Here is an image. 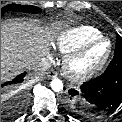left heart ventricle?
Wrapping results in <instances>:
<instances>
[{
    "instance_id": "obj_1",
    "label": "left heart ventricle",
    "mask_w": 122,
    "mask_h": 122,
    "mask_svg": "<svg viewBox=\"0 0 122 122\" xmlns=\"http://www.w3.org/2000/svg\"><path fill=\"white\" fill-rule=\"evenodd\" d=\"M106 50H107L106 43H100L94 46L82 58H80L78 61L75 62L74 69L77 71H83L89 68L102 58Z\"/></svg>"
}]
</instances>
